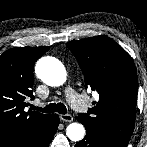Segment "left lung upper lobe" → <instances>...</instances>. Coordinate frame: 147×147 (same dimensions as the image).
I'll use <instances>...</instances> for the list:
<instances>
[{
  "label": "left lung upper lobe",
  "mask_w": 147,
  "mask_h": 147,
  "mask_svg": "<svg viewBox=\"0 0 147 147\" xmlns=\"http://www.w3.org/2000/svg\"><path fill=\"white\" fill-rule=\"evenodd\" d=\"M66 45L81 67L85 87L99 94L94 107L78 116L113 145L126 147L136 118L138 77L133 59L103 35L73 40Z\"/></svg>",
  "instance_id": "obj_1"
}]
</instances>
